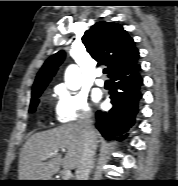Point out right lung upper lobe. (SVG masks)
I'll return each mask as SVG.
<instances>
[{
	"mask_svg": "<svg viewBox=\"0 0 178 186\" xmlns=\"http://www.w3.org/2000/svg\"><path fill=\"white\" fill-rule=\"evenodd\" d=\"M82 42L98 64L108 67L109 77L125 66L135 63L139 58L135 42L117 23L97 22L85 32ZM64 58V51H59L46 60L37 74L32 95L44 90Z\"/></svg>",
	"mask_w": 178,
	"mask_h": 186,
	"instance_id": "cb5924a9",
	"label": "right lung upper lobe"
}]
</instances>
